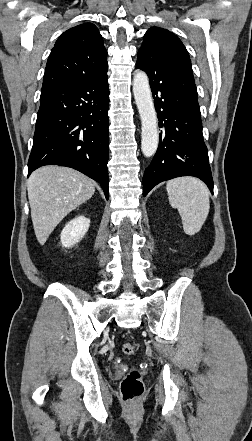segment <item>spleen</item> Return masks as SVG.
<instances>
[{
  "mask_svg": "<svg viewBox=\"0 0 252 441\" xmlns=\"http://www.w3.org/2000/svg\"><path fill=\"white\" fill-rule=\"evenodd\" d=\"M171 206L177 208L187 235L200 231L210 209L209 190L199 179L181 177L166 184Z\"/></svg>",
  "mask_w": 252,
  "mask_h": 441,
  "instance_id": "1",
  "label": "spleen"
}]
</instances>
